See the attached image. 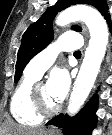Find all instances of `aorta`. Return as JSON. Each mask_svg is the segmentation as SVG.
Listing matches in <instances>:
<instances>
[{
	"label": "aorta",
	"mask_w": 112,
	"mask_h": 135,
	"mask_svg": "<svg viewBox=\"0 0 112 135\" xmlns=\"http://www.w3.org/2000/svg\"><path fill=\"white\" fill-rule=\"evenodd\" d=\"M81 20L89 29L90 40L72 89L67 113L75 115L83 106L97 78L108 44V27L102 15L88 6H75L61 12L56 25L65 26Z\"/></svg>",
	"instance_id": "762f6f07"
}]
</instances>
